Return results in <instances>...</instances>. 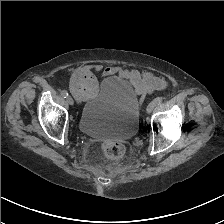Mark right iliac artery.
Wrapping results in <instances>:
<instances>
[{
	"instance_id": "1",
	"label": "right iliac artery",
	"mask_w": 224,
	"mask_h": 224,
	"mask_svg": "<svg viewBox=\"0 0 224 224\" xmlns=\"http://www.w3.org/2000/svg\"><path fill=\"white\" fill-rule=\"evenodd\" d=\"M61 95H62L64 98H66V97L68 96V93H67L66 90H62V91H61Z\"/></svg>"
}]
</instances>
